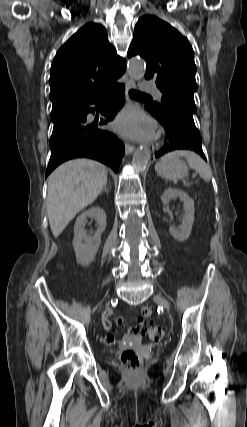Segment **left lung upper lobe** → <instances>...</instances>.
Returning a JSON list of instances; mask_svg holds the SVG:
<instances>
[{
  "label": "left lung upper lobe",
  "mask_w": 247,
  "mask_h": 427,
  "mask_svg": "<svg viewBox=\"0 0 247 427\" xmlns=\"http://www.w3.org/2000/svg\"><path fill=\"white\" fill-rule=\"evenodd\" d=\"M139 55L147 64L145 78L155 80L162 92V103L148 106L157 114L178 109L196 112L194 92L196 65L193 49L184 36L156 16H142L134 31L128 57Z\"/></svg>",
  "instance_id": "obj_1"
}]
</instances>
